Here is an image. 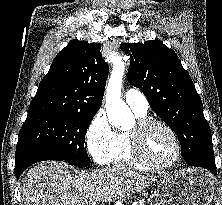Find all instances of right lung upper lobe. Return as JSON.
Masks as SVG:
<instances>
[{
  "instance_id": "1",
  "label": "right lung upper lobe",
  "mask_w": 222,
  "mask_h": 205,
  "mask_svg": "<svg viewBox=\"0 0 222 205\" xmlns=\"http://www.w3.org/2000/svg\"><path fill=\"white\" fill-rule=\"evenodd\" d=\"M100 48L96 43L70 41L42 79L28 115L54 111L96 113L108 76Z\"/></svg>"
}]
</instances>
